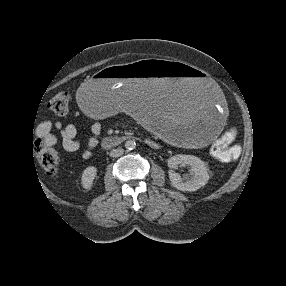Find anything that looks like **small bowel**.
I'll use <instances>...</instances> for the list:
<instances>
[{
	"instance_id": "obj_1",
	"label": "small bowel",
	"mask_w": 286,
	"mask_h": 286,
	"mask_svg": "<svg viewBox=\"0 0 286 286\" xmlns=\"http://www.w3.org/2000/svg\"><path fill=\"white\" fill-rule=\"evenodd\" d=\"M54 129L60 134L62 148L69 153L80 152L84 159H89L93 155L99 144V136L102 130L100 123H93L90 127L91 135L84 146H81L77 140V128L73 124L41 122L36 128V134L43 138L47 145L54 146L58 142L57 136L53 133ZM229 151L231 153L230 159H237L240 155V148L237 145L231 146Z\"/></svg>"
}]
</instances>
